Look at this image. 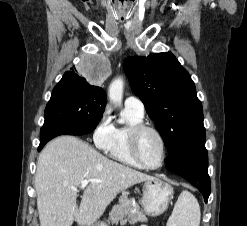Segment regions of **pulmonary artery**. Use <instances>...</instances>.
Wrapping results in <instances>:
<instances>
[{
	"label": "pulmonary artery",
	"mask_w": 247,
	"mask_h": 226,
	"mask_svg": "<svg viewBox=\"0 0 247 226\" xmlns=\"http://www.w3.org/2000/svg\"><path fill=\"white\" fill-rule=\"evenodd\" d=\"M125 107L133 109L134 111L144 114V104L136 96H129L125 99Z\"/></svg>",
	"instance_id": "e3ab8cb5"
}]
</instances>
